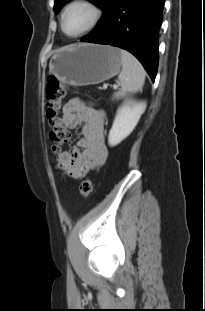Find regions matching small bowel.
<instances>
[{"mask_svg":"<svg viewBox=\"0 0 205 311\" xmlns=\"http://www.w3.org/2000/svg\"><path fill=\"white\" fill-rule=\"evenodd\" d=\"M62 118L65 128H80L81 136L70 150L58 154L57 165L68 176L78 179L103 165L108 157L104 113L72 98L64 105Z\"/></svg>","mask_w":205,"mask_h":311,"instance_id":"1","label":"small bowel"}]
</instances>
